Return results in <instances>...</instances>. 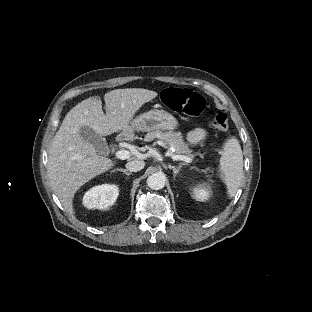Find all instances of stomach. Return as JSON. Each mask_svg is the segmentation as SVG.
<instances>
[{
  "label": "stomach",
  "instance_id": "stomach-1",
  "mask_svg": "<svg viewBox=\"0 0 312 312\" xmlns=\"http://www.w3.org/2000/svg\"><path fill=\"white\" fill-rule=\"evenodd\" d=\"M131 125L133 128L149 132L152 130H168L174 131L179 127L177 118L165 110L154 109L136 117ZM130 129L125 136H130Z\"/></svg>",
  "mask_w": 312,
  "mask_h": 312
}]
</instances>
